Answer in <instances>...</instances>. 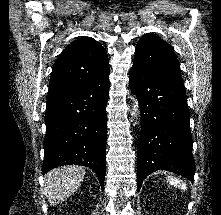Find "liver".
I'll list each match as a JSON object with an SVG mask.
<instances>
[{"label": "liver", "instance_id": "6515ba94", "mask_svg": "<svg viewBox=\"0 0 221 215\" xmlns=\"http://www.w3.org/2000/svg\"><path fill=\"white\" fill-rule=\"evenodd\" d=\"M82 166H63L50 171L45 178V192L48 202L56 205L64 202L80 186L85 176Z\"/></svg>", "mask_w": 221, "mask_h": 215}]
</instances>
